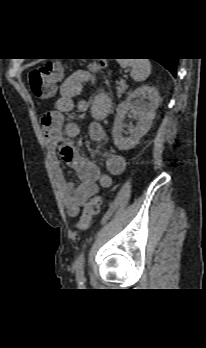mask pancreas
Instances as JSON below:
<instances>
[{
    "mask_svg": "<svg viewBox=\"0 0 206 348\" xmlns=\"http://www.w3.org/2000/svg\"><path fill=\"white\" fill-rule=\"evenodd\" d=\"M118 84H119V86L117 87V96L121 97L122 94L126 91L127 85L125 83H121V82H119Z\"/></svg>",
    "mask_w": 206,
    "mask_h": 348,
    "instance_id": "cf45deb5",
    "label": "pancreas"
}]
</instances>
